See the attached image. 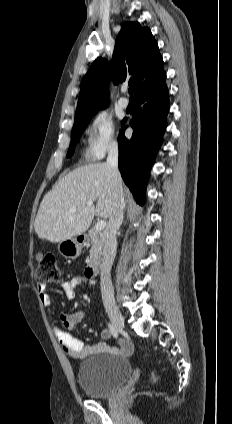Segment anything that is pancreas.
<instances>
[{
	"label": "pancreas",
	"instance_id": "pancreas-1",
	"mask_svg": "<svg viewBox=\"0 0 232 424\" xmlns=\"http://www.w3.org/2000/svg\"><path fill=\"white\" fill-rule=\"evenodd\" d=\"M88 236L90 238L91 244H92V248L90 250V259L89 261H95L98 257V253L101 250L102 247V233L99 230H96V228H92L89 233Z\"/></svg>",
	"mask_w": 232,
	"mask_h": 424
}]
</instances>
